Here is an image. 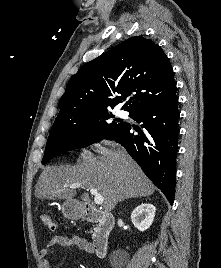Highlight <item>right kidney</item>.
Listing matches in <instances>:
<instances>
[{
  "label": "right kidney",
  "mask_w": 221,
  "mask_h": 268,
  "mask_svg": "<svg viewBox=\"0 0 221 268\" xmlns=\"http://www.w3.org/2000/svg\"><path fill=\"white\" fill-rule=\"evenodd\" d=\"M156 208L152 204L142 203L137 206L131 213L133 225L140 231L147 230L155 217Z\"/></svg>",
  "instance_id": "1"
}]
</instances>
